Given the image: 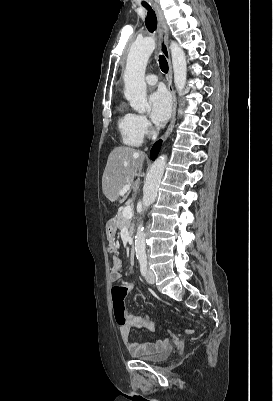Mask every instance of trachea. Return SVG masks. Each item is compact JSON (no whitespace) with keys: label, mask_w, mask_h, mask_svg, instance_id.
<instances>
[{"label":"trachea","mask_w":273,"mask_h":401,"mask_svg":"<svg viewBox=\"0 0 273 401\" xmlns=\"http://www.w3.org/2000/svg\"><path fill=\"white\" fill-rule=\"evenodd\" d=\"M147 9V17L145 20V24L149 32L153 33L157 27V18L154 10L149 5H143ZM159 64L162 72L167 73L169 70L168 62L164 55L159 56Z\"/></svg>","instance_id":"obj_1"}]
</instances>
